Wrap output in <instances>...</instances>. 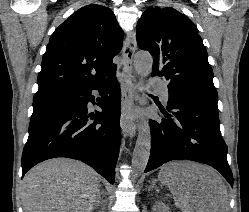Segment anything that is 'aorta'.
<instances>
[{
  "mask_svg": "<svg viewBox=\"0 0 249 212\" xmlns=\"http://www.w3.org/2000/svg\"><path fill=\"white\" fill-rule=\"evenodd\" d=\"M153 66V58L148 52L139 51L134 56V68L141 77L147 76ZM151 135L148 121L144 120L138 131L132 157V170L135 175L144 172L150 156Z\"/></svg>",
  "mask_w": 249,
  "mask_h": 212,
  "instance_id": "762f6f07",
  "label": "aorta"
}]
</instances>
